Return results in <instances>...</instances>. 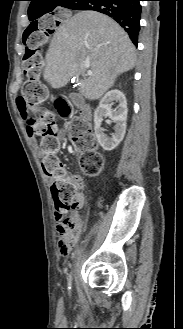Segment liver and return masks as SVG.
Segmentation results:
<instances>
[{
    "mask_svg": "<svg viewBox=\"0 0 183 329\" xmlns=\"http://www.w3.org/2000/svg\"><path fill=\"white\" fill-rule=\"evenodd\" d=\"M135 63V47L114 20L96 11H82L63 21L54 33L43 78L53 88H60L72 77L82 76L80 93L96 100ZM88 69L93 75L86 73Z\"/></svg>",
    "mask_w": 183,
    "mask_h": 329,
    "instance_id": "obj_1",
    "label": "liver"
}]
</instances>
